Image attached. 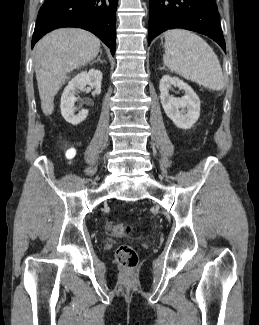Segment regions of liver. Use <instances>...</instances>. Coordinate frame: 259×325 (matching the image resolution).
I'll list each match as a JSON object with an SVG mask.
<instances>
[{
    "label": "liver",
    "instance_id": "6515ba94",
    "mask_svg": "<svg viewBox=\"0 0 259 325\" xmlns=\"http://www.w3.org/2000/svg\"><path fill=\"white\" fill-rule=\"evenodd\" d=\"M100 40L83 29H57L35 46V73L41 108L48 116L54 111V96L67 74L86 65L99 53Z\"/></svg>",
    "mask_w": 259,
    "mask_h": 325
}]
</instances>
